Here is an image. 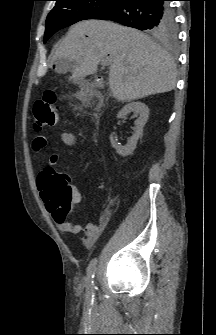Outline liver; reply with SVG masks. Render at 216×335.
I'll return each mask as SVG.
<instances>
[{
	"label": "liver",
	"mask_w": 216,
	"mask_h": 335,
	"mask_svg": "<svg viewBox=\"0 0 216 335\" xmlns=\"http://www.w3.org/2000/svg\"><path fill=\"white\" fill-rule=\"evenodd\" d=\"M104 58L110 61L109 87L118 101L129 102L175 88L176 64L171 56L149 36L113 22H78L53 55L62 71L68 67H60L58 62H75L70 81L77 84L95 74Z\"/></svg>",
	"instance_id": "obj_1"
}]
</instances>
